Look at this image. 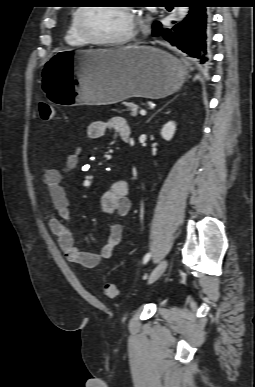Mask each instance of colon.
I'll list each match as a JSON object with an SVG mask.
<instances>
[{
	"label": "colon",
	"mask_w": 255,
	"mask_h": 387,
	"mask_svg": "<svg viewBox=\"0 0 255 387\" xmlns=\"http://www.w3.org/2000/svg\"><path fill=\"white\" fill-rule=\"evenodd\" d=\"M39 116L42 120H52L54 118V108L48 103H40ZM103 294L109 298H115L118 295V288L114 283L107 282L103 286Z\"/></svg>",
	"instance_id": "obj_1"
}]
</instances>
